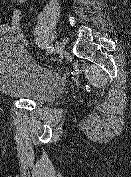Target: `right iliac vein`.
<instances>
[{"label": "right iliac vein", "instance_id": "1", "mask_svg": "<svg viewBox=\"0 0 131 177\" xmlns=\"http://www.w3.org/2000/svg\"><path fill=\"white\" fill-rule=\"evenodd\" d=\"M62 50H63V45L61 43L57 42L55 45V51L57 53H60Z\"/></svg>", "mask_w": 131, "mask_h": 177}]
</instances>
